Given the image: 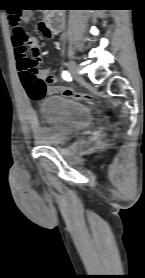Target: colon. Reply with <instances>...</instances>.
<instances>
[{
    "label": "colon",
    "mask_w": 145,
    "mask_h": 278,
    "mask_svg": "<svg viewBox=\"0 0 145 278\" xmlns=\"http://www.w3.org/2000/svg\"><path fill=\"white\" fill-rule=\"evenodd\" d=\"M9 24L11 26L14 38L17 40V42L20 45L25 47L31 43V37H30L29 33L27 32V30L25 28H23L21 18L18 14H11L9 16ZM17 54L19 56L23 57L25 55V50L24 49L17 50ZM64 93L67 95H73V96H77V97H81V98H89L90 97L89 94H87V93L75 91V90H72L69 88H66L64 90ZM31 95L34 96V93L31 92Z\"/></svg>",
    "instance_id": "1"
}]
</instances>
